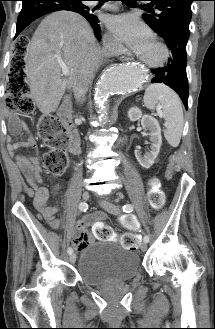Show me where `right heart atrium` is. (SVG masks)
<instances>
[{"instance_id":"1","label":"right heart atrium","mask_w":215,"mask_h":329,"mask_svg":"<svg viewBox=\"0 0 215 329\" xmlns=\"http://www.w3.org/2000/svg\"><path fill=\"white\" fill-rule=\"evenodd\" d=\"M106 42H107V44L109 45V47H111V48H113V49L117 47V43H116V41H115L114 38H113L111 35H109V34L106 35Z\"/></svg>"}]
</instances>
